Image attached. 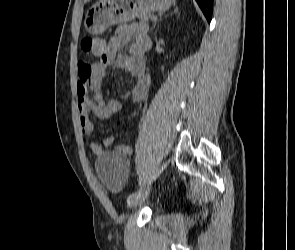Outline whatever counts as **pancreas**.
I'll list each match as a JSON object with an SVG mask.
<instances>
[{
    "label": "pancreas",
    "instance_id": "cf45deb5",
    "mask_svg": "<svg viewBox=\"0 0 295 250\" xmlns=\"http://www.w3.org/2000/svg\"><path fill=\"white\" fill-rule=\"evenodd\" d=\"M154 16L152 14H142L139 16L141 23H147L149 19H152Z\"/></svg>",
    "mask_w": 295,
    "mask_h": 250
}]
</instances>
